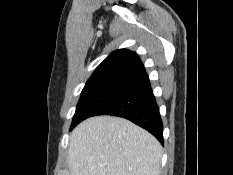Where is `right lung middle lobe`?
<instances>
[{"label": "right lung middle lobe", "mask_w": 233, "mask_h": 175, "mask_svg": "<svg viewBox=\"0 0 233 175\" xmlns=\"http://www.w3.org/2000/svg\"><path fill=\"white\" fill-rule=\"evenodd\" d=\"M134 79L120 76H107L89 79L82 90L71 129L82 120L92 116L102 106L116 97Z\"/></svg>", "instance_id": "right-lung-middle-lobe-1"}]
</instances>
